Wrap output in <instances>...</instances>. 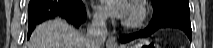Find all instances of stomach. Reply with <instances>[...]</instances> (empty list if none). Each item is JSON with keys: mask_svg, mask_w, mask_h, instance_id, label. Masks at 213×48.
I'll use <instances>...</instances> for the list:
<instances>
[{"mask_svg": "<svg viewBox=\"0 0 213 48\" xmlns=\"http://www.w3.org/2000/svg\"><path fill=\"white\" fill-rule=\"evenodd\" d=\"M169 30H161L160 33H165ZM150 45H153V47L155 48H160V46L158 44H150L148 41H140L139 43L137 44H134V45H131V46H128V47H125V48H143L144 46L146 47H149Z\"/></svg>", "mask_w": 213, "mask_h": 48, "instance_id": "stomach-1", "label": "stomach"}]
</instances>
